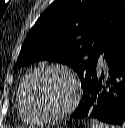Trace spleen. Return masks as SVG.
I'll return each instance as SVG.
<instances>
[{"instance_id":"1","label":"spleen","mask_w":125,"mask_h":128,"mask_svg":"<svg viewBox=\"0 0 125 128\" xmlns=\"http://www.w3.org/2000/svg\"><path fill=\"white\" fill-rule=\"evenodd\" d=\"M91 127L92 128H111L110 126L96 120V119H92L91 121Z\"/></svg>"}]
</instances>
